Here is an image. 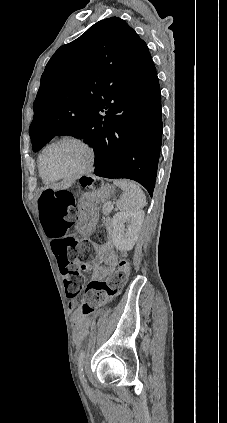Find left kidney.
<instances>
[{
	"mask_svg": "<svg viewBox=\"0 0 227 423\" xmlns=\"http://www.w3.org/2000/svg\"><path fill=\"white\" fill-rule=\"evenodd\" d=\"M144 215L143 210L117 211L113 215L111 235L116 249H132L138 239Z\"/></svg>",
	"mask_w": 227,
	"mask_h": 423,
	"instance_id": "5707ae66",
	"label": "left kidney"
}]
</instances>
